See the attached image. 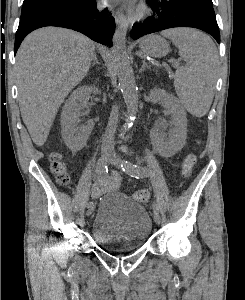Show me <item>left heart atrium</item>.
<instances>
[{"label":"left heart atrium","mask_w":245,"mask_h":300,"mask_svg":"<svg viewBox=\"0 0 245 300\" xmlns=\"http://www.w3.org/2000/svg\"><path fill=\"white\" fill-rule=\"evenodd\" d=\"M110 1H114V2H124L128 5H132L134 3L135 0H110Z\"/></svg>","instance_id":"left-heart-atrium-1"}]
</instances>
